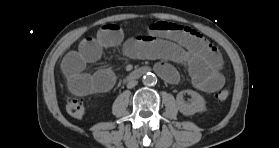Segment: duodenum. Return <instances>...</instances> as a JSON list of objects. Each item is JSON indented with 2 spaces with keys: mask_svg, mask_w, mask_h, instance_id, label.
I'll list each match as a JSON object with an SVG mask.
<instances>
[{
  "mask_svg": "<svg viewBox=\"0 0 279 148\" xmlns=\"http://www.w3.org/2000/svg\"><path fill=\"white\" fill-rule=\"evenodd\" d=\"M150 71V69L148 67H141V68H138L134 71H132L127 79L128 80H136V79H139L141 78L142 76H144L146 73H148Z\"/></svg>",
  "mask_w": 279,
  "mask_h": 148,
  "instance_id": "410a0bca",
  "label": "duodenum"
}]
</instances>
